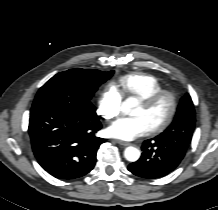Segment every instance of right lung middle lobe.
Listing matches in <instances>:
<instances>
[{
  "instance_id": "1",
  "label": "right lung middle lobe",
  "mask_w": 218,
  "mask_h": 210,
  "mask_svg": "<svg viewBox=\"0 0 218 210\" xmlns=\"http://www.w3.org/2000/svg\"><path fill=\"white\" fill-rule=\"evenodd\" d=\"M113 72L70 69L58 73L39 89L32 107L54 104L95 115V108L90 100L97 88L108 80Z\"/></svg>"
}]
</instances>
